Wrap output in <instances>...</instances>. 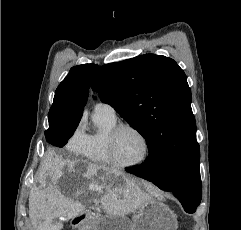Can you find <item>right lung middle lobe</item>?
I'll use <instances>...</instances> for the list:
<instances>
[{"label": "right lung middle lobe", "mask_w": 241, "mask_h": 230, "mask_svg": "<svg viewBox=\"0 0 241 230\" xmlns=\"http://www.w3.org/2000/svg\"><path fill=\"white\" fill-rule=\"evenodd\" d=\"M79 122L74 121H52L49 122V129L45 131L48 143L63 147L73 135Z\"/></svg>", "instance_id": "dd1d6c3e"}]
</instances>
